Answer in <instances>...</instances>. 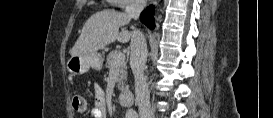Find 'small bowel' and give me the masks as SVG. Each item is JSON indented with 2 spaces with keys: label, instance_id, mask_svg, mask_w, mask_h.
Returning <instances> with one entry per match:
<instances>
[{
  "label": "small bowel",
  "instance_id": "small-bowel-1",
  "mask_svg": "<svg viewBox=\"0 0 273 118\" xmlns=\"http://www.w3.org/2000/svg\"><path fill=\"white\" fill-rule=\"evenodd\" d=\"M106 95L100 86H95L94 89V104L90 111L92 118H106Z\"/></svg>",
  "mask_w": 273,
  "mask_h": 118
}]
</instances>
